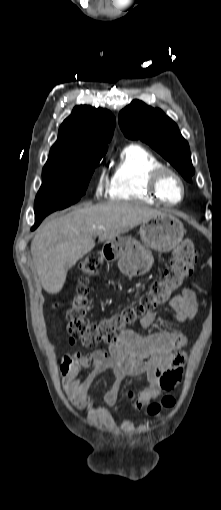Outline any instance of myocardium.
<instances>
[{
  "instance_id": "obj_1",
  "label": "myocardium",
  "mask_w": 221,
  "mask_h": 510,
  "mask_svg": "<svg viewBox=\"0 0 221 510\" xmlns=\"http://www.w3.org/2000/svg\"><path fill=\"white\" fill-rule=\"evenodd\" d=\"M167 175L174 177L178 181V183L181 187L182 195H181L180 200L177 202H169V201L165 200L160 193V189H159L160 183L163 180V178ZM147 188H148V191L151 194V196L158 203H160L166 207L177 206V205L181 204L185 200V197H186V184H185L183 178L176 170H174L171 167L165 166V165L158 167L150 172V174L148 176V181H147Z\"/></svg>"
}]
</instances>
